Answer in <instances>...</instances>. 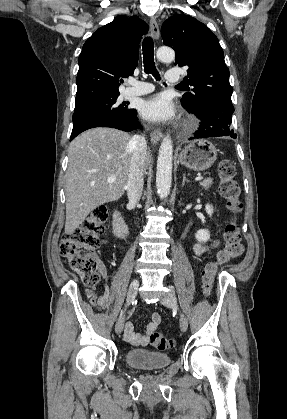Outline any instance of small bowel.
I'll return each instance as SVG.
<instances>
[{
  "label": "small bowel",
  "instance_id": "small-bowel-1",
  "mask_svg": "<svg viewBox=\"0 0 287 419\" xmlns=\"http://www.w3.org/2000/svg\"><path fill=\"white\" fill-rule=\"evenodd\" d=\"M208 249L207 246L196 244L194 246V253L198 256L202 255ZM102 276L106 279L107 273L104 268L101 269ZM86 297L89 300L90 304L96 308L102 309L106 308L108 305L107 294L97 296L91 291L86 293ZM161 322V316L159 313H153L151 316V322L147 325L146 334L141 335L134 331V325L132 322L128 321L125 324V339L127 342L134 346H145L148 344L150 337L154 334Z\"/></svg>",
  "mask_w": 287,
  "mask_h": 419
}]
</instances>
